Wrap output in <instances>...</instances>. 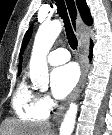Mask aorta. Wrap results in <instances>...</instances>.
Instances as JSON below:
<instances>
[{
  "instance_id": "aorta-1",
  "label": "aorta",
  "mask_w": 112,
  "mask_h": 135,
  "mask_svg": "<svg viewBox=\"0 0 112 135\" xmlns=\"http://www.w3.org/2000/svg\"><path fill=\"white\" fill-rule=\"evenodd\" d=\"M62 24L59 20L43 23L35 36L30 59V77L33 85L41 90H46L49 84L47 54L59 36ZM77 105L71 103L64 114L59 135H72L77 115Z\"/></svg>"
}]
</instances>
